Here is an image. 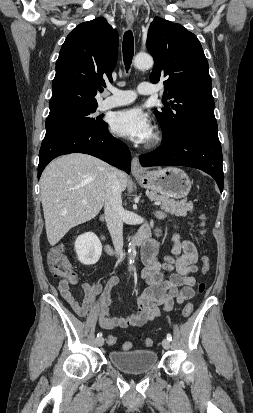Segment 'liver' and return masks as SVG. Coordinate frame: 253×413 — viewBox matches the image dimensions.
<instances>
[{
  "label": "liver",
  "mask_w": 253,
  "mask_h": 413,
  "mask_svg": "<svg viewBox=\"0 0 253 413\" xmlns=\"http://www.w3.org/2000/svg\"><path fill=\"white\" fill-rule=\"evenodd\" d=\"M112 166L82 153L61 156L44 169L40 178L41 202L48 242L57 244L73 227L88 222L102 209ZM119 172L121 190L127 175ZM86 200L87 203H83Z\"/></svg>",
  "instance_id": "liver-1"
}]
</instances>
